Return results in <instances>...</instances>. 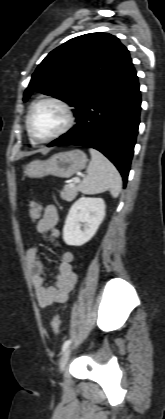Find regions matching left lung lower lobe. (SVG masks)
Segmentation results:
<instances>
[{
	"instance_id": "left-lung-lower-lobe-1",
	"label": "left lung lower lobe",
	"mask_w": 165,
	"mask_h": 419,
	"mask_svg": "<svg viewBox=\"0 0 165 419\" xmlns=\"http://www.w3.org/2000/svg\"><path fill=\"white\" fill-rule=\"evenodd\" d=\"M140 105L139 83L131 60L83 103L75 115V127L48 147L72 144L97 149L114 163L126 185L140 122Z\"/></svg>"
}]
</instances>
